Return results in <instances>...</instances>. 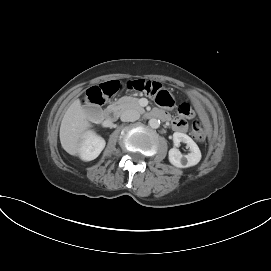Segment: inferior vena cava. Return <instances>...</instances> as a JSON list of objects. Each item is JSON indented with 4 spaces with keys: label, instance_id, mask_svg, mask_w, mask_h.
<instances>
[{
    "label": "inferior vena cava",
    "instance_id": "obj_1",
    "mask_svg": "<svg viewBox=\"0 0 271 271\" xmlns=\"http://www.w3.org/2000/svg\"><path fill=\"white\" fill-rule=\"evenodd\" d=\"M140 118V113L136 110L129 109L122 112L120 119L123 122H133Z\"/></svg>",
    "mask_w": 271,
    "mask_h": 271
}]
</instances>
